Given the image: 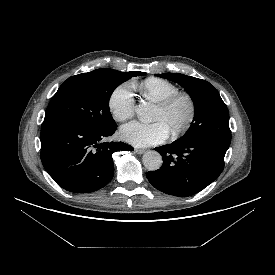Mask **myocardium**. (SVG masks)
Returning a JSON list of instances; mask_svg holds the SVG:
<instances>
[{"mask_svg": "<svg viewBox=\"0 0 275 275\" xmlns=\"http://www.w3.org/2000/svg\"><path fill=\"white\" fill-rule=\"evenodd\" d=\"M180 99H184L189 107V112L186 120L184 123L177 128L176 130L172 131L170 134L173 138H177L180 135H182L184 132H186L190 126L192 125L195 115H196V103L193 98V96L185 91H178L167 98H165L163 101L158 103V108L161 109L162 111H167L169 110L177 101Z\"/></svg>", "mask_w": 275, "mask_h": 275, "instance_id": "f54148a6", "label": "myocardium"}]
</instances>
